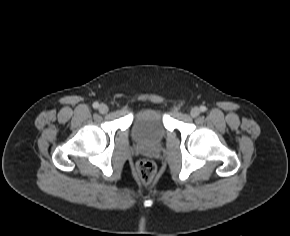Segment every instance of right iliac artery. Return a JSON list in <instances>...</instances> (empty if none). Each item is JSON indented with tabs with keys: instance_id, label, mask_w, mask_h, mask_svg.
Here are the masks:
<instances>
[{
	"instance_id": "82829eb1",
	"label": "right iliac artery",
	"mask_w": 290,
	"mask_h": 236,
	"mask_svg": "<svg viewBox=\"0 0 290 236\" xmlns=\"http://www.w3.org/2000/svg\"><path fill=\"white\" fill-rule=\"evenodd\" d=\"M98 107H99V104H98L97 102H94V103H93V108L96 109V108H98Z\"/></svg>"
}]
</instances>
